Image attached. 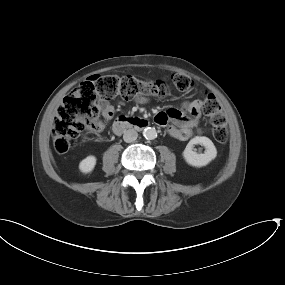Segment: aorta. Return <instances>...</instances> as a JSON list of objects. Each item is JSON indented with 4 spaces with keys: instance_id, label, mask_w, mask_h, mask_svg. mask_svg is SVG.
Instances as JSON below:
<instances>
[{
    "instance_id": "1",
    "label": "aorta",
    "mask_w": 285,
    "mask_h": 285,
    "mask_svg": "<svg viewBox=\"0 0 285 285\" xmlns=\"http://www.w3.org/2000/svg\"><path fill=\"white\" fill-rule=\"evenodd\" d=\"M143 136L148 140H153L157 137V131L153 127H147L143 130Z\"/></svg>"
}]
</instances>
